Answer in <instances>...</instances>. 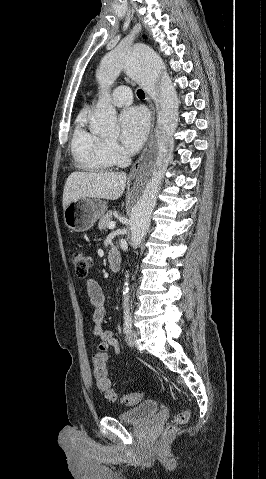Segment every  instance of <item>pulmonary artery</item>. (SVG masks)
Returning a JSON list of instances; mask_svg holds the SVG:
<instances>
[{"label":"pulmonary artery","mask_w":266,"mask_h":479,"mask_svg":"<svg viewBox=\"0 0 266 479\" xmlns=\"http://www.w3.org/2000/svg\"><path fill=\"white\" fill-rule=\"evenodd\" d=\"M132 102V90L128 86H119L112 93V103L118 107L129 106Z\"/></svg>","instance_id":"obj_1"}]
</instances>
